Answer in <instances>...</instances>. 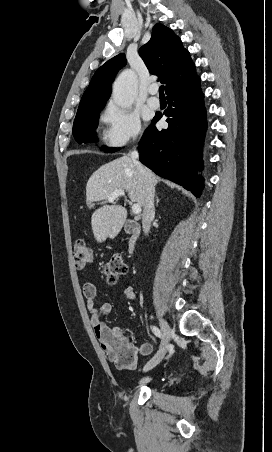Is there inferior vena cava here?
Returning a JSON list of instances; mask_svg holds the SVG:
<instances>
[{
  "label": "inferior vena cava",
  "instance_id": "obj_1",
  "mask_svg": "<svg viewBox=\"0 0 272 452\" xmlns=\"http://www.w3.org/2000/svg\"><path fill=\"white\" fill-rule=\"evenodd\" d=\"M131 159L142 181L143 214L142 227L147 235L150 231L151 222L155 216L154 195L155 187L151 181L148 171L139 162V153L134 150L131 153Z\"/></svg>",
  "mask_w": 272,
  "mask_h": 452
}]
</instances>
